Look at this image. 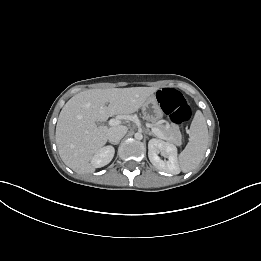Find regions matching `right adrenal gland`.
<instances>
[{
  "mask_svg": "<svg viewBox=\"0 0 261 261\" xmlns=\"http://www.w3.org/2000/svg\"><path fill=\"white\" fill-rule=\"evenodd\" d=\"M111 144H113V145H117L118 143H111Z\"/></svg>",
  "mask_w": 261,
  "mask_h": 261,
  "instance_id": "1",
  "label": "right adrenal gland"
}]
</instances>
